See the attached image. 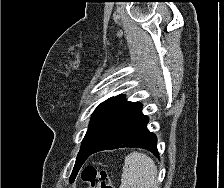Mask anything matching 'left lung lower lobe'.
<instances>
[{
  "instance_id": "1",
  "label": "left lung lower lobe",
  "mask_w": 224,
  "mask_h": 188,
  "mask_svg": "<svg viewBox=\"0 0 224 188\" xmlns=\"http://www.w3.org/2000/svg\"><path fill=\"white\" fill-rule=\"evenodd\" d=\"M141 108L139 102L132 104L92 151L83 159L77 158L75 167L81 166L93 153L124 147L144 148L158 157L157 138L147 130L148 118L142 114Z\"/></svg>"
}]
</instances>
